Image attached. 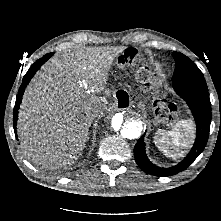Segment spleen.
<instances>
[{
  "mask_svg": "<svg viewBox=\"0 0 221 221\" xmlns=\"http://www.w3.org/2000/svg\"><path fill=\"white\" fill-rule=\"evenodd\" d=\"M155 138V144L167 157L177 158L183 156L185 148H188L194 137V125L192 120H180L167 132L159 131Z\"/></svg>",
  "mask_w": 221,
  "mask_h": 221,
  "instance_id": "1",
  "label": "spleen"
}]
</instances>
